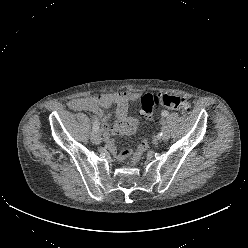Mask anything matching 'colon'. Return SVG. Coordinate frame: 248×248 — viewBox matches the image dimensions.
I'll use <instances>...</instances> for the list:
<instances>
[{"instance_id":"5ec220e1","label":"colon","mask_w":248,"mask_h":248,"mask_svg":"<svg viewBox=\"0 0 248 248\" xmlns=\"http://www.w3.org/2000/svg\"><path fill=\"white\" fill-rule=\"evenodd\" d=\"M161 104L165 107L178 110L182 113L189 114L191 111V106L189 102L182 97L171 96V95H151L146 94L142 97L141 101V114L142 116L149 120L152 117L153 109L155 105ZM149 143L147 140H142L136 150L133 153H130L129 156H124V159L127 158L130 160L132 165L137 164L144 151L148 148Z\"/></svg>"}]
</instances>
